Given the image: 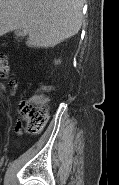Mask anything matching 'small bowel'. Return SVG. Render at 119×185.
Returning <instances> with one entry per match:
<instances>
[{"label": "small bowel", "mask_w": 119, "mask_h": 185, "mask_svg": "<svg viewBox=\"0 0 119 185\" xmlns=\"http://www.w3.org/2000/svg\"><path fill=\"white\" fill-rule=\"evenodd\" d=\"M18 88L17 84L16 83H13V89L16 91Z\"/></svg>", "instance_id": "obj_1"}]
</instances>
